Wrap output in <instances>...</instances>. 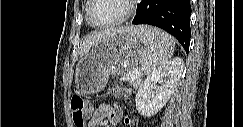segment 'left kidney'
Masks as SVG:
<instances>
[{
	"instance_id": "1",
	"label": "left kidney",
	"mask_w": 243,
	"mask_h": 127,
	"mask_svg": "<svg viewBox=\"0 0 243 127\" xmlns=\"http://www.w3.org/2000/svg\"><path fill=\"white\" fill-rule=\"evenodd\" d=\"M183 66L181 58H173L144 80L135 99L136 109L141 115L151 117L167 103L180 80Z\"/></svg>"
}]
</instances>
